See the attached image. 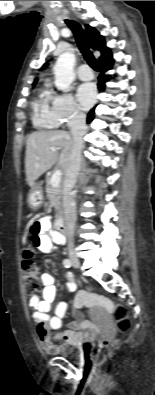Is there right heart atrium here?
Returning <instances> with one entry per match:
<instances>
[{
  "label": "right heart atrium",
  "instance_id": "obj_1",
  "mask_svg": "<svg viewBox=\"0 0 155 395\" xmlns=\"http://www.w3.org/2000/svg\"><path fill=\"white\" fill-rule=\"evenodd\" d=\"M51 115L56 127L70 126L83 120L84 115L70 93L53 94Z\"/></svg>",
  "mask_w": 155,
  "mask_h": 395
}]
</instances>
